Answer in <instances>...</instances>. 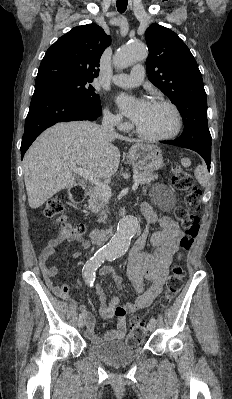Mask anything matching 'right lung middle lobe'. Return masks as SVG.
Here are the masks:
<instances>
[{"instance_id":"right-lung-middle-lobe-1","label":"right lung middle lobe","mask_w":232,"mask_h":399,"mask_svg":"<svg viewBox=\"0 0 232 399\" xmlns=\"http://www.w3.org/2000/svg\"><path fill=\"white\" fill-rule=\"evenodd\" d=\"M91 82L92 81L58 77L43 80L36 83L35 86L47 85L59 88L81 103L88 105L93 109L101 110L99 95L95 93L94 87L90 84Z\"/></svg>"}]
</instances>
